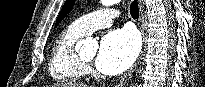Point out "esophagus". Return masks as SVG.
<instances>
[{
	"label": "esophagus",
	"instance_id": "obj_1",
	"mask_svg": "<svg viewBox=\"0 0 205 87\" xmlns=\"http://www.w3.org/2000/svg\"><path fill=\"white\" fill-rule=\"evenodd\" d=\"M138 2V7H139V23H140V29L142 32L143 37L145 36V32H144V9H143V4H142V0H137ZM142 54V52H141ZM141 54L138 57V59L136 60V62L134 63V65L128 70V72L121 78L120 82L117 84V87H123L126 82L130 79V77L132 76L133 72L135 71L136 67L138 66L140 59H141Z\"/></svg>",
	"mask_w": 205,
	"mask_h": 87
}]
</instances>
